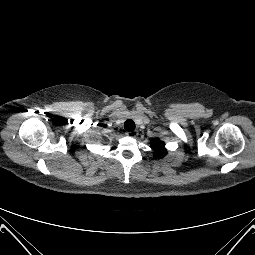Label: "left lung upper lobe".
I'll return each mask as SVG.
<instances>
[{"instance_id": "left-lung-upper-lobe-1", "label": "left lung upper lobe", "mask_w": 255, "mask_h": 255, "mask_svg": "<svg viewBox=\"0 0 255 255\" xmlns=\"http://www.w3.org/2000/svg\"><path fill=\"white\" fill-rule=\"evenodd\" d=\"M152 147L154 149V157L156 159L164 157L165 144L159 139H154L151 141ZM166 153V152H165Z\"/></svg>"}]
</instances>
